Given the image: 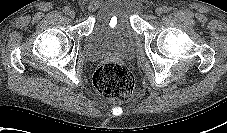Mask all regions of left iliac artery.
<instances>
[{
	"label": "left iliac artery",
	"instance_id": "44dca946",
	"mask_svg": "<svg viewBox=\"0 0 227 133\" xmlns=\"http://www.w3.org/2000/svg\"><path fill=\"white\" fill-rule=\"evenodd\" d=\"M163 9H164V12H165V13H167V12H169V11L171 10V8H169V7H167V6H164Z\"/></svg>",
	"mask_w": 227,
	"mask_h": 133
}]
</instances>
